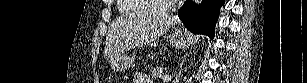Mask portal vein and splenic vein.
<instances>
[{"label":"portal vein and splenic vein","instance_id":"1","mask_svg":"<svg viewBox=\"0 0 307 83\" xmlns=\"http://www.w3.org/2000/svg\"><path fill=\"white\" fill-rule=\"evenodd\" d=\"M162 79L167 82V81H170L172 79V76L171 75H164Z\"/></svg>","mask_w":307,"mask_h":83}]
</instances>
